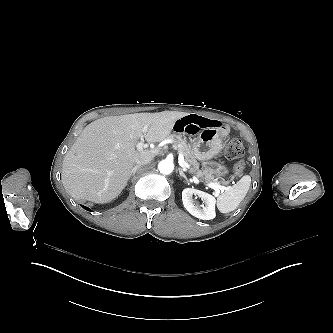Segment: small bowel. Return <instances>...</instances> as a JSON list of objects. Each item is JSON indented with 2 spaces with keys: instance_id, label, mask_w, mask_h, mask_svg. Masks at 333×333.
<instances>
[{
  "instance_id": "small-bowel-1",
  "label": "small bowel",
  "mask_w": 333,
  "mask_h": 333,
  "mask_svg": "<svg viewBox=\"0 0 333 333\" xmlns=\"http://www.w3.org/2000/svg\"><path fill=\"white\" fill-rule=\"evenodd\" d=\"M172 127L174 131L181 133L187 131L190 134H197L201 130L210 127L213 133H221L223 131V124L218 121H213L206 117L189 114L184 117L174 120Z\"/></svg>"
}]
</instances>
